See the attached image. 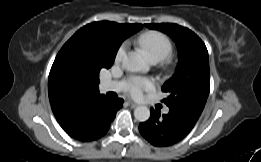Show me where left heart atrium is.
<instances>
[{
    "label": "left heart atrium",
    "instance_id": "1",
    "mask_svg": "<svg viewBox=\"0 0 261 162\" xmlns=\"http://www.w3.org/2000/svg\"><path fill=\"white\" fill-rule=\"evenodd\" d=\"M129 82V91L134 97H140L143 92L150 91L155 86L152 80L141 77H132Z\"/></svg>",
    "mask_w": 261,
    "mask_h": 162
}]
</instances>
